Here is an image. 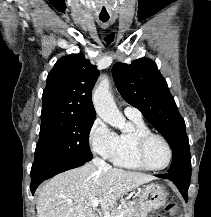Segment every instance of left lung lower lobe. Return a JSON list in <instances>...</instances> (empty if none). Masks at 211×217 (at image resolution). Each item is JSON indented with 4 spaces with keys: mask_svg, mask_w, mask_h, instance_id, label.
Here are the masks:
<instances>
[{
    "mask_svg": "<svg viewBox=\"0 0 211 217\" xmlns=\"http://www.w3.org/2000/svg\"><path fill=\"white\" fill-rule=\"evenodd\" d=\"M159 178L169 179L171 180L181 192L184 200L188 201L187 191L190 185L191 175L181 174V173H166L156 175Z\"/></svg>",
    "mask_w": 211,
    "mask_h": 217,
    "instance_id": "left-lung-lower-lobe-1",
    "label": "left lung lower lobe"
}]
</instances>
